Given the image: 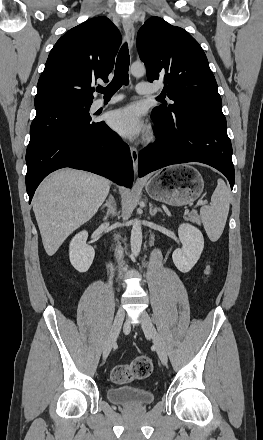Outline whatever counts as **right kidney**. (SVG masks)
I'll return each mask as SVG.
<instances>
[{"label":"right kidney","instance_id":"right-kidney-1","mask_svg":"<svg viewBox=\"0 0 263 440\" xmlns=\"http://www.w3.org/2000/svg\"><path fill=\"white\" fill-rule=\"evenodd\" d=\"M87 238L88 232L81 231L73 237L69 246L70 262L80 273L88 271L95 256L94 248L86 243Z\"/></svg>","mask_w":263,"mask_h":440}]
</instances>
